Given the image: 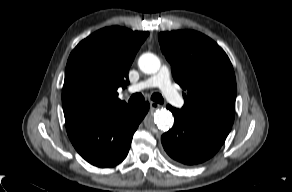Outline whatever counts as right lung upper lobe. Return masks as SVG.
<instances>
[{"instance_id": "right-lung-upper-lobe-1", "label": "right lung upper lobe", "mask_w": 292, "mask_h": 192, "mask_svg": "<svg viewBox=\"0 0 292 192\" xmlns=\"http://www.w3.org/2000/svg\"><path fill=\"white\" fill-rule=\"evenodd\" d=\"M148 32L106 27L82 40L71 52L62 93L64 116L107 114L127 106L117 89L128 84V71Z\"/></svg>"}]
</instances>
